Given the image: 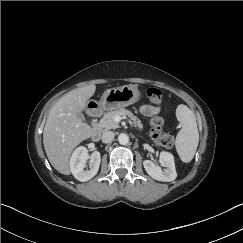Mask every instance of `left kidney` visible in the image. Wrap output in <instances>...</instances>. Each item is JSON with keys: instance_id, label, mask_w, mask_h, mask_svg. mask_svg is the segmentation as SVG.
<instances>
[{"instance_id": "5707ae66", "label": "left kidney", "mask_w": 243, "mask_h": 243, "mask_svg": "<svg viewBox=\"0 0 243 243\" xmlns=\"http://www.w3.org/2000/svg\"><path fill=\"white\" fill-rule=\"evenodd\" d=\"M160 165L166 169L162 170L151 160H144L143 165L146 172L155 180L170 182L176 179L177 173L175 169L174 157L170 152L162 151L159 157Z\"/></svg>"}]
</instances>
